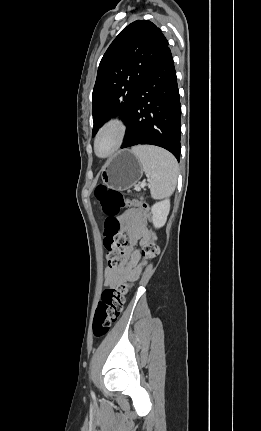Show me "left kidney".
I'll list each match as a JSON object with an SVG mask.
<instances>
[{"label": "left kidney", "instance_id": "left-kidney-1", "mask_svg": "<svg viewBox=\"0 0 261 431\" xmlns=\"http://www.w3.org/2000/svg\"><path fill=\"white\" fill-rule=\"evenodd\" d=\"M169 211H170L169 199L156 202L151 207L152 221L155 228H160L165 225Z\"/></svg>", "mask_w": 261, "mask_h": 431}]
</instances>
